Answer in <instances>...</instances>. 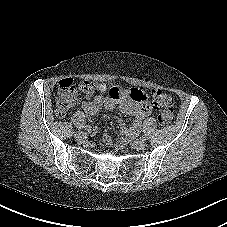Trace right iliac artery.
Returning <instances> with one entry per match:
<instances>
[{
    "label": "right iliac artery",
    "mask_w": 227,
    "mask_h": 227,
    "mask_svg": "<svg viewBox=\"0 0 227 227\" xmlns=\"http://www.w3.org/2000/svg\"><path fill=\"white\" fill-rule=\"evenodd\" d=\"M90 130V131H95L96 127L95 126H88V125H78V130Z\"/></svg>",
    "instance_id": "obj_1"
}]
</instances>
